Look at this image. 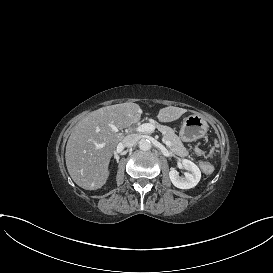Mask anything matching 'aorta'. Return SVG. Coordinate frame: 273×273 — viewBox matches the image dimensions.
I'll use <instances>...</instances> for the list:
<instances>
[{
    "instance_id": "1",
    "label": "aorta",
    "mask_w": 273,
    "mask_h": 273,
    "mask_svg": "<svg viewBox=\"0 0 273 273\" xmlns=\"http://www.w3.org/2000/svg\"><path fill=\"white\" fill-rule=\"evenodd\" d=\"M151 146H152V144H151V142L148 140V139H141L140 141H139V148L141 149V150H143V151H148V150H150L151 149Z\"/></svg>"
}]
</instances>
